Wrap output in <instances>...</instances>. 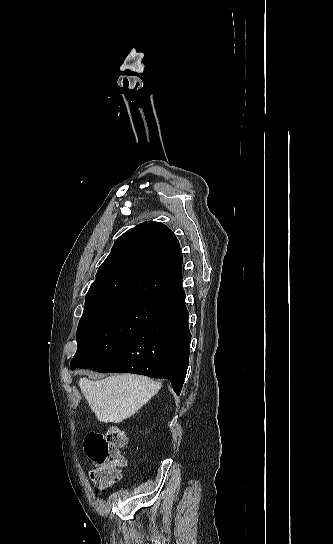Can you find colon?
I'll list each match as a JSON object with an SVG mask.
<instances>
[{
	"label": "colon",
	"mask_w": 333,
	"mask_h": 544,
	"mask_svg": "<svg viewBox=\"0 0 333 544\" xmlns=\"http://www.w3.org/2000/svg\"><path fill=\"white\" fill-rule=\"evenodd\" d=\"M126 443L125 432L117 426L108 427L104 433L91 432L86 436L84 450L94 465L91 478L100 487L118 481L126 463L121 452Z\"/></svg>",
	"instance_id": "obj_1"
}]
</instances>
